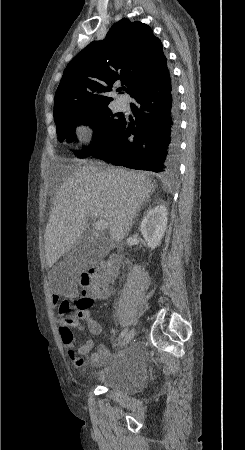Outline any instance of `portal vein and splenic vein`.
<instances>
[{"label":"portal vein and splenic vein","mask_w":245,"mask_h":450,"mask_svg":"<svg viewBox=\"0 0 245 450\" xmlns=\"http://www.w3.org/2000/svg\"><path fill=\"white\" fill-rule=\"evenodd\" d=\"M109 226V223L106 220H99L94 223V228L96 230H106Z\"/></svg>","instance_id":"portal-vein-and-splenic-vein-1"}]
</instances>
